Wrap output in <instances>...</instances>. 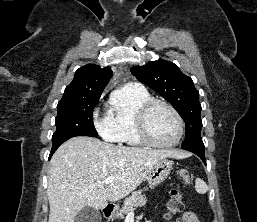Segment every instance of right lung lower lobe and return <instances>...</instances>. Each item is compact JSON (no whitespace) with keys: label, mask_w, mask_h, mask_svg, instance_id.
Masks as SVG:
<instances>
[{"label":"right lung lower lobe","mask_w":257,"mask_h":222,"mask_svg":"<svg viewBox=\"0 0 257 222\" xmlns=\"http://www.w3.org/2000/svg\"><path fill=\"white\" fill-rule=\"evenodd\" d=\"M59 147V146H58ZM58 147H52L50 155H49V159L51 158V156L53 155V153L57 150Z\"/></svg>","instance_id":"1"}]
</instances>
